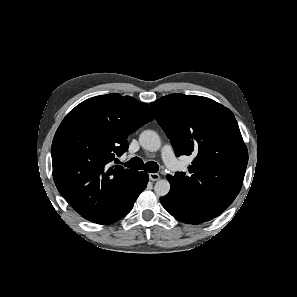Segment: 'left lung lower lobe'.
Returning a JSON list of instances; mask_svg holds the SVG:
<instances>
[{
  "mask_svg": "<svg viewBox=\"0 0 297 297\" xmlns=\"http://www.w3.org/2000/svg\"><path fill=\"white\" fill-rule=\"evenodd\" d=\"M160 201L168 213L186 224H200L215 218L184 199L183 195L174 189H171L165 197H161Z\"/></svg>",
  "mask_w": 297,
  "mask_h": 297,
  "instance_id": "obj_1",
  "label": "left lung lower lobe"
}]
</instances>
